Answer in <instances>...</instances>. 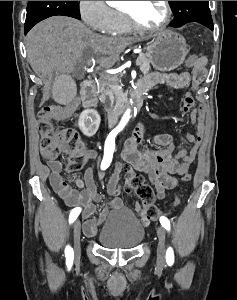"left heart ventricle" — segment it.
I'll list each match as a JSON object with an SVG mask.
<instances>
[{
	"label": "left heart ventricle",
	"instance_id": "left-heart-ventricle-1",
	"mask_svg": "<svg viewBox=\"0 0 237 300\" xmlns=\"http://www.w3.org/2000/svg\"><path fill=\"white\" fill-rule=\"evenodd\" d=\"M122 7L129 10L136 21L147 27H155L165 17L163 1H122Z\"/></svg>",
	"mask_w": 237,
	"mask_h": 300
}]
</instances>
